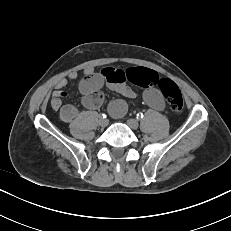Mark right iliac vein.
<instances>
[{"label": "right iliac vein", "mask_w": 231, "mask_h": 231, "mask_svg": "<svg viewBox=\"0 0 231 231\" xmlns=\"http://www.w3.org/2000/svg\"><path fill=\"white\" fill-rule=\"evenodd\" d=\"M99 125H100L101 127H106V126L108 125V120L101 117V118L99 119Z\"/></svg>", "instance_id": "right-iliac-vein-1"}]
</instances>
